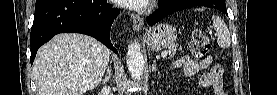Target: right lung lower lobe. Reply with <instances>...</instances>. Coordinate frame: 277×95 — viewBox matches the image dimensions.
Here are the masks:
<instances>
[{
	"label": "right lung lower lobe",
	"instance_id": "1",
	"mask_svg": "<svg viewBox=\"0 0 277 95\" xmlns=\"http://www.w3.org/2000/svg\"><path fill=\"white\" fill-rule=\"evenodd\" d=\"M119 13L106 0H36L30 39L31 64L40 46L63 32L92 36L117 53L110 41V29Z\"/></svg>",
	"mask_w": 277,
	"mask_h": 95
}]
</instances>
